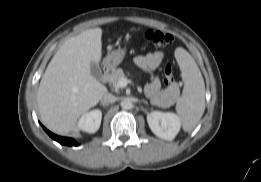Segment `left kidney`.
I'll return each instance as SVG.
<instances>
[{"label":"left kidney","instance_id":"left-kidney-1","mask_svg":"<svg viewBox=\"0 0 261 182\" xmlns=\"http://www.w3.org/2000/svg\"><path fill=\"white\" fill-rule=\"evenodd\" d=\"M147 122L156 136L169 141L176 137L181 127L180 118L171 112L153 111L147 115Z\"/></svg>","mask_w":261,"mask_h":182}]
</instances>
